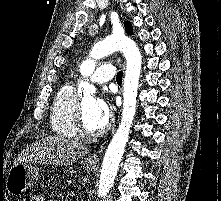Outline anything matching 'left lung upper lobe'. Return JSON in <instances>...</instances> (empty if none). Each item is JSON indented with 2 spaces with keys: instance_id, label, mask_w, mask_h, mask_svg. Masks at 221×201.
<instances>
[{
  "instance_id": "1",
  "label": "left lung upper lobe",
  "mask_w": 221,
  "mask_h": 201,
  "mask_svg": "<svg viewBox=\"0 0 221 201\" xmlns=\"http://www.w3.org/2000/svg\"><path fill=\"white\" fill-rule=\"evenodd\" d=\"M124 27H125L128 34H130V35L133 34L132 25L130 24V22L126 21L124 23Z\"/></svg>"
}]
</instances>
